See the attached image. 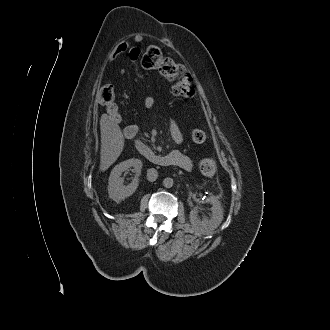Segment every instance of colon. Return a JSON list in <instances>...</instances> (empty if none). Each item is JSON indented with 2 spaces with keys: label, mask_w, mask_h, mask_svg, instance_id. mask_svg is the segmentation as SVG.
<instances>
[{
  "label": "colon",
  "mask_w": 330,
  "mask_h": 330,
  "mask_svg": "<svg viewBox=\"0 0 330 330\" xmlns=\"http://www.w3.org/2000/svg\"><path fill=\"white\" fill-rule=\"evenodd\" d=\"M141 65L146 70L157 71L164 79L172 82L171 92L173 95L189 98L194 95L193 79L186 71L185 67L164 56L162 50L154 45L146 48L142 57ZM98 99L107 109V112L116 120L121 116L115 103V90L112 85H104L98 92ZM189 139L196 144L205 142L206 135L201 130L189 132ZM199 171L211 177L217 170L216 162L213 158H202L198 163Z\"/></svg>",
  "instance_id": "1"
}]
</instances>
